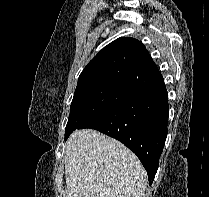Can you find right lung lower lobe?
<instances>
[{"mask_svg": "<svg viewBox=\"0 0 209 197\" xmlns=\"http://www.w3.org/2000/svg\"><path fill=\"white\" fill-rule=\"evenodd\" d=\"M168 116V93L162 80L136 92L78 129H96L121 141L138 156L152 184L168 132Z\"/></svg>", "mask_w": 209, "mask_h": 197, "instance_id": "obj_1", "label": "right lung lower lobe"}]
</instances>
